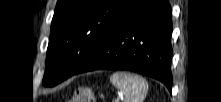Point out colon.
<instances>
[{"mask_svg": "<svg viewBox=\"0 0 221 102\" xmlns=\"http://www.w3.org/2000/svg\"><path fill=\"white\" fill-rule=\"evenodd\" d=\"M71 102H96V97L91 89L83 87L74 92Z\"/></svg>", "mask_w": 221, "mask_h": 102, "instance_id": "5ec220e1", "label": "colon"}]
</instances>
